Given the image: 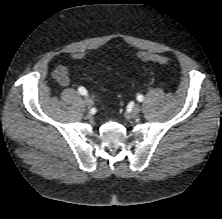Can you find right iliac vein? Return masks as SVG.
Returning a JSON list of instances; mask_svg holds the SVG:
<instances>
[{
	"label": "right iliac vein",
	"instance_id": "obj_1",
	"mask_svg": "<svg viewBox=\"0 0 222 219\" xmlns=\"http://www.w3.org/2000/svg\"><path fill=\"white\" fill-rule=\"evenodd\" d=\"M84 103H85V105L88 106V107H91V106L93 105V101H92V99L89 98V97H85V98H84Z\"/></svg>",
	"mask_w": 222,
	"mask_h": 219
}]
</instances>
